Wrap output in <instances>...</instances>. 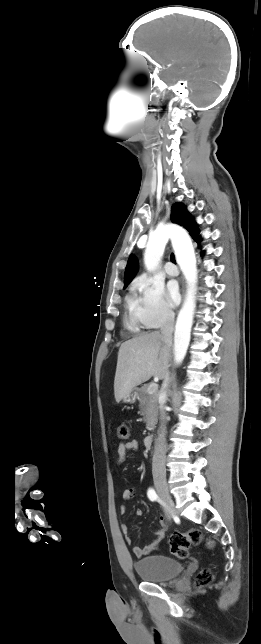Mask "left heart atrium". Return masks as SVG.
Here are the masks:
<instances>
[{
	"instance_id": "left-heart-atrium-1",
	"label": "left heart atrium",
	"mask_w": 261,
	"mask_h": 644,
	"mask_svg": "<svg viewBox=\"0 0 261 644\" xmlns=\"http://www.w3.org/2000/svg\"><path fill=\"white\" fill-rule=\"evenodd\" d=\"M168 296L172 305H176L180 300L179 287L176 281L168 284Z\"/></svg>"
}]
</instances>
